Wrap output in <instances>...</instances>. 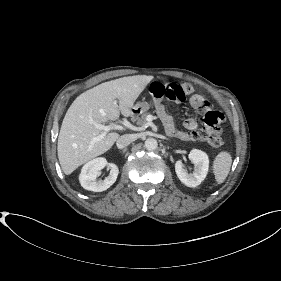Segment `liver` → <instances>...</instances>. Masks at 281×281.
Returning a JSON list of instances; mask_svg holds the SVG:
<instances>
[{"instance_id": "liver-1", "label": "liver", "mask_w": 281, "mask_h": 281, "mask_svg": "<svg viewBox=\"0 0 281 281\" xmlns=\"http://www.w3.org/2000/svg\"><path fill=\"white\" fill-rule=\"evenodd\" d=\"M152 79L136 75L111 80L83 92L73 101L63 119L57 145L59 163L66 175L113 146L118 133H109L91 143L102 133L94 123L116 120L120 114L132 115L135 100Z\"/></svg>"}]
</instances>
